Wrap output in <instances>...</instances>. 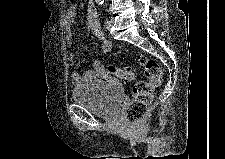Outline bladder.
I'll use <instances>...</instances> for the list:
<instances>
[{
    "label": "bladder",
    "mask_w": 225,
    "mask_h": 159,
    "mask_svg": "<svg viewBox=\"0 0 225 159\" xmlns=\"http://www.w3.org/2000/svg\"><path fill=\"white\" fill-rule=\"evenodd\" d=\"M72 99L104 120L116 119L122 104L118 91L103 80H93L75 87Z\"/></svg>",
    "instance_id": "bladder-1"
}]
</instances>
